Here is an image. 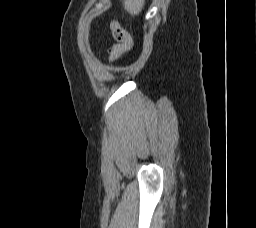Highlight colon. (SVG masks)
Listing matches in <instances>:
<instances>
[{
    "label": "colon",
    "mask_w": 256,
    "mask_h": 228,
    "mask_svg": "<svg viewBox=\"0 0 256 228\" xmlns=\"http://www.w3.org/2000/svg\"><path fill=\"white\" fill-rule=\"evenodd\" d=\"M110 29L117 43L110 50L109 61L115 62L133 47V39L118 20H113L110 23Z\"/></svg>",
    "instance_id": "obj_1"
}]
</instances>
